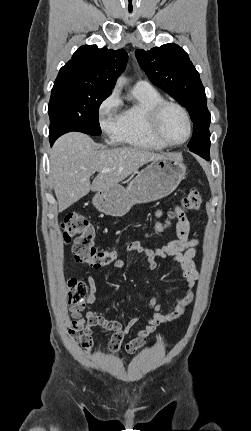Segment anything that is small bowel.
<instances>
[{"label": "small bowel", "instance_id": "obj_1", "mask_svg": "<svg viewBox=\"0 0 251 431\" xmlns=\"http://www.w3.org/2000/svg\"><path fill=\"white\" fill-rule=\"evenodd\" d=\"M177 224H176V239L168 241L161 247L148 248L141 246L138 243H133L127 247L128 252L137 251L146 255V264L150 270L158 268V259H170L175 262L182 271V276L186 280L187 290L183 297L177 302L175 308L164 314L162 312L164 306L159 303L158 299L152 297L149 300V309L151 316L147 323L142 327L136 335L125 345L127 353H133L140 348L158 326L178 320L183 316L187 307L191 304L194 298L193 288L199 278V273L196 269L194 258L197 254L198 241L189 238L190 222L180 208H176ZM162 210L158 209L155 212L156 219L162 216ZM156 230L162 234L164 228L157 220L155 223ZM126 263L123 260H116L113 267L123 269ZM88 295L85 304L80 306L73 305L70 308V319L68 321L69 334L73 340L81 345L83 356L90 359L93 353L90 351L93 345L91 328L101 327L112 332V336L108 343V349L111 352H117L126 335L129 334L131 328L138 322L137 318L131 319L127 324L121 323L119 320L110 319L106 313L94 310V305L97 298L96 279L93 275L88 276ZM86 308L84 315L82 311Z\"/></svg>", "mask_w": 251, "mask_h": 431}]
</instances>
